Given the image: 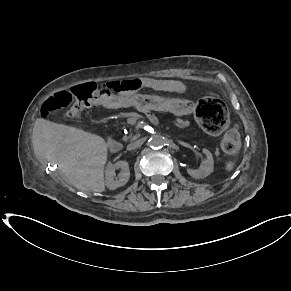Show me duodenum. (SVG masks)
<instances>
[{
  "label": "duodenum",
  "mask_w": 291,
  "mask_h": 291,
  "mask_svg": "<svg viewBox=\"0 0 291 291\" xmlns=\"http://www.w3.org/2000/svg\"><path fill=\"white\" fill-rule=\"evenodd\" d=\"M109 142H108V148L113 152V153H118L121 148H122V144L116 140V137L114 135H111L109 137Z\"/></svg>",
  "instance_id": "duodenum-1"
}]
</instances>
